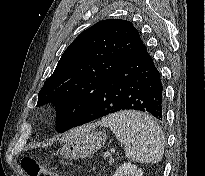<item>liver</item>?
<instances>
[{"label": "liver", "mask_w": 205, "mask_h": 176, "mask_svg": "<svg viewBox=\"0 0 205 176\" xmlns=\"http://www.w3.org/2000/svg\"><path fill=\"white\" fill-rule=\"evenodd\" d=\"M85 126L78 128V129H74L72 130L68 135H66L65 140L69 141L71 138L76 137L78 134H80L83 130H85ZM64 139H62L61 141H63Z\"/></svg>", "instance_id": "obj_1"}]
</instances>
